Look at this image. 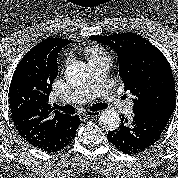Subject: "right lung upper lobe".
I'll use <instances>...</instances> for the list:
<instances>
[{"instance_id": "1", "label": "right lung upper lobe", "mask_w": 178, "mask_h": 178, "mask_svg": "<svg viewBox=\"0 0 178 178\" xmlns=\"http://www.w3.org/2000/svg\"><path fill=\"white\" fill-rule=\"evenodd\" d=\"M69 40L48 38L33 47L19 62L9 88L14 125L30 144L39 147L63 132L77 119L48 103L58 75V53Z\"/></svg>"}]
</instances>
